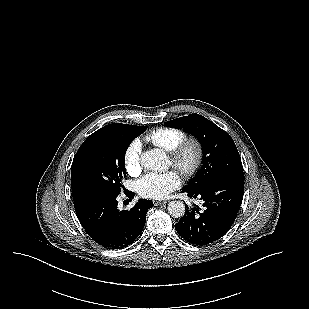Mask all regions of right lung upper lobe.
I'll use <instances>...</instances> for the list:
<instances>
[{"mask_svg": "<svg viewBox=\"0 0 309 309\" xmlns=\"http://www.w3.org/2000/svg\"><path fill=\"white\" fill-rule=\"evenodd\" d=\"M115 124H109V125H106L104 127H102L101 129L97 130L96 132H94L93 134H91L84 142L83 144L81 145V147L91 138L99 135V134H102L104 132H106L107 130H109L110 128H112ZM80 147V148H81ZM79 148V149H80ZM78 152V151H77ZM71 187H72V194H73V199H74V202H77L81 199L84 198V196L78 194L77 192H75L74 190V181H73V178H72V173H71Z\"/></svg>", "mask_w": 309, "mask_h": 309, "instance_id": "obj_1", "label": "right lung upper lobe"}]
</instances>
